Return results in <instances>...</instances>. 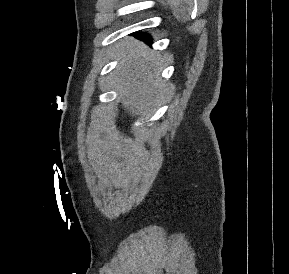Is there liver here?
Here are the masks:
<instances>
[{
    "label": "liver",
    "mask_w": 289,
    "mask_h": 274,
    "mask_svg": "<svg viewBox=\"0 0 289 274\" xmlns=\"http://www.w3.org/2000/svg\"><path fill=\"white\" fill-rule=\"evenodd\" d=\"M121 60L116 73L122 106L132 116L152 113L172 93V87L160 78L161 56L129 38L114 46Z\"/></svg>",
    "instance_id": "obj_1"
}]
</instances>
